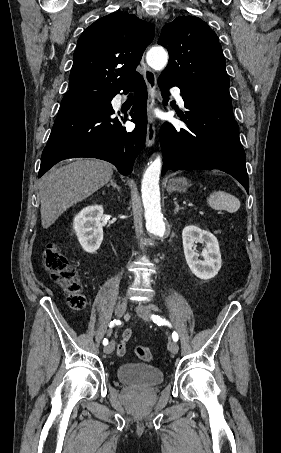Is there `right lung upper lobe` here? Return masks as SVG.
I'll return each instance as SVG.
<instances>
[{"mask_svg":"<svg viewBox=\"0 0 281 453\" xmlns=\"http://www.w3.org/2000/svg\"><path fill=\"white\" fill-rule=\"evenodd\" d=\"M153 38V25L133 14L98 19L78 39L66 94L124 89L139 75L136 67Z\"/></svg>","mask_w":281,"mask_h":453,"instance_id":"right-lung-upper-lobe-1","label":"right lung upper lobe"}]
</instances>
